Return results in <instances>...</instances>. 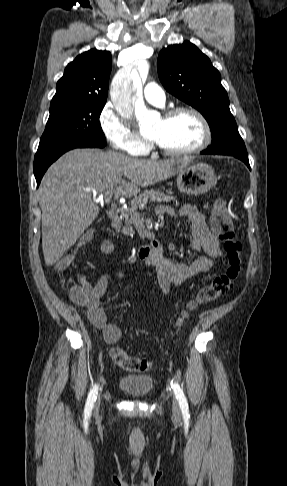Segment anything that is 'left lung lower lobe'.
I'll use <instances>...</instances> for the list:
<instances>
[{"label": "left lung lower lobe", "instance_id": "left-lung-lower-lobe-1", "mask_svg": "<svg viewBox=\"0 0 287 486\" xmlns=\"http://www.w3.org/2000/svg\"><path fill=\"white\" fill-rule=\"evenodd\" d=\"M234 157L239 158L240 160H242L248 166V168L251 169L250 168V165H249L248 157H246V156H234Z\"/></svg>", "mask_w": 287, "mask_h": 486}]
</instances>
